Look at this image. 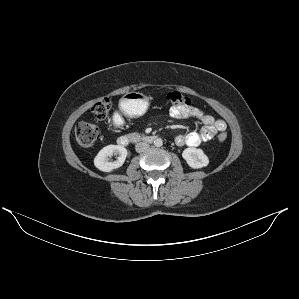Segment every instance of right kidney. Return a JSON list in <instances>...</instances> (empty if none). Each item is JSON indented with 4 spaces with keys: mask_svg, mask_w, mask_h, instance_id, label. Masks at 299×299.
I'll use <instances>...</instances> for the list:
<instances>
[{
    "mask_svg": "<svg viewBox=\"0 0 299 299\" xmlns=\"http://www.w3.org/2000/svg\"><path fill=\"white\" fill-rule=\"evenodd\" d=\"M118 155L117 160L113 162L108 161V157ZM127 157V149L121 145H107L102 148L97 156L94 158V165L97 169L103 172H111L123 165Z\"/></svg>",
    "mask_w": 299,
    "mask_h": 299,
    "instance_id": "obj_1",
    "label": "right kidney"
}]
</instances>
